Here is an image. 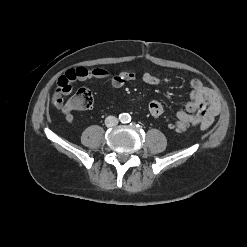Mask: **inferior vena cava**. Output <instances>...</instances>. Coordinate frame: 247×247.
Returning a JSON list of instances; mask_svg holds the SVG:
<instances>
[{
	"mask_svg": "<svg viewBox=\"0 0 247 247\" xmlns=\"http://www.w3.org/2000/svg\"><path fill=\"white\" fill-rule=\"evenodd\" d=\"M118 124V119L115 116H108L105 119V125L107 127H113Z\"/></svg>",
	"mask_w": 247,
	"mask_h": 247,
	"instance_id": "1",
	"label": "inferior vena cava"
}]
</instances>
